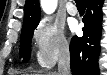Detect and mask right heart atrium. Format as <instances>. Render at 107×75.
Masks as SVG:
<instances>
[{
	"label": "right heart atrium",
	"mask_w": 107,
	"mask_h": 75,
	"mask_svg": "<svg viewBox=\"0 0 107 75\" xmlns=\"http://www.w3.org/2000/svg\"><path fill=\"white\" fill-rule=\"evenodd\" d=\"M33 42L39 63L52 67L69 53V43L63 27L49 18L41 19L33 29Z\"/></svg>",
	"instance_id": "1"
}]
</instances>
